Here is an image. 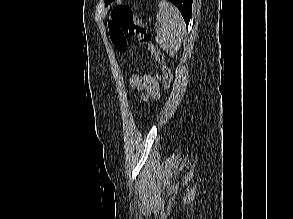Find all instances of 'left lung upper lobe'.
Returning <instances> with one entry per match:
<instances>
[{"label":"left lung upper lobe","mask_w":293,"mask_h":219,"mask_svg":"<svg viewBox=\"0 0 293 219\" xmlns=\"http://www.w3.org/2000/svg\"><path fill=\"white\" fill-rule=\"evenodd\" d=\"M113 0H105V5H108L109 3H111Z\"/></svg>","instance_id":"5c2ea615"}]
</instances>
